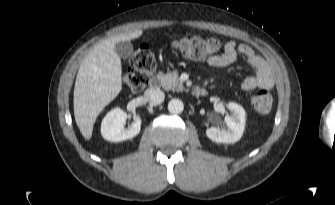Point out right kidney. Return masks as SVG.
Here are the masks:
<instances>
[{
	"mask_svg": "<svg viewBox=\"0 0 335 205\" xmlns=\"http://www.w3.org/2000/svg\"><path fill=\"white\" fill-rule=\"evenodd\" d=\"M133 117L134 122L125 128L127 113L120 108L110 111L101 124L103 138L108 141L119 142L135 137L141 129V117L136 113Z\"/></svg>",
	"mask_w": 335,
	"mask_h": 205,
	"instance_id": "right-kidney-1",
	"label": "right kidney"
}]
</instances>
